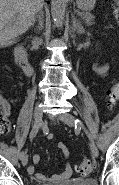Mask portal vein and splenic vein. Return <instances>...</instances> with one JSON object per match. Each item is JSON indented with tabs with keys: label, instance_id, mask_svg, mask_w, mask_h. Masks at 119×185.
Returning a JSON list of instances; mask_svg holds the SVG:
<instances>
[{
	"label": "portal vein and splenic vein",
	"instance_id": "obj_1",
	"mask_svg": "<svg viewBox=\"0 0 119 185\" xmlns=\"http://www.w3.org/2000/svg\"><path fill=\"white\" fill-rule=\"evenodd\" d=\"M82 15H83V13L80 12V13H79V16H82Z\"/></svg>",
	"mask_w": 119,
	"mask_h": 185
}]
</instances>
